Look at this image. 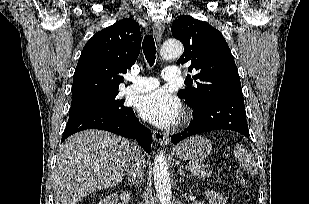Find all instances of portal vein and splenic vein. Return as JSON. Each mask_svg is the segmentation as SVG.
Listing matches in <instances>:
<instances>
[{"label": "portal vein and splenic vein", "mask_w": 309, "mask_h": 204, "mask_svg": "<svg viewBox=\"0 0 309 204\" xmlns=\"http://www.w3.org/2000/svg\"><path fill=\"white\" fill-rule=\"evenodd\" d=\"M188 168V166H185V169H187Z\"/></svg>", "instance_id": "1"}]
</instances>
